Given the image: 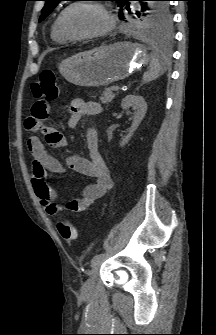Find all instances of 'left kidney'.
Wrapping results in <instances>:
<instances>
[{"mask_svg":"<svg viewBox=\"0 0 216 335\" xmlns=\"http://www.w3.org/2000/svg\"><path fill=\"white\" fill-rule=\"evenodd\" d=\"M121 107L127 111V115L130 114V112L128 111L130 107H132L134 110L132 116V125L129 129V133L120 142V146L123 147L129 142L135 130L138 128L139 124L143 120L147 111V103L142 96L128 95L122 100Z\"/></svg>","mask_w":216,"mask_h":335,"instance_id":"left-kidney-1","label":"left kidney"}]
</instances>
